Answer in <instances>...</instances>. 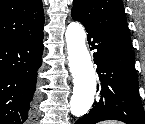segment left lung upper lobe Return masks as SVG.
Listing matches in <instances>:
<instances>
[{"label":"left lung upper lobe","mask_w":145,"mask_h":124,"mask_svg":"<svg viewBox=\"0 0 145 124\" xmlns=\"http://www.w3.org/2000/svg\"><path fill=\"white\" fill-rule=\"evenodd\" d=\"M71 14L97 32L131 50L122 0H74Z\"/></svg>","instance_id":"obj_1"}]
</instances>
